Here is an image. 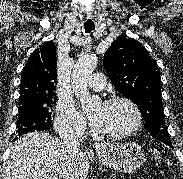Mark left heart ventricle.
I'll return each instance as SVG.
<instances>
[{
    "label": "left heart ventricle",
    "instance_id": "obj_1",
    "mask_svg": "<svg viewBox=\"0 0 183 179\" xmlns=\"http://www.w3.org/2000/svg\"><path fill=\"white\" fill-rule=\"evenodd\" d=\"M100 114L102 132H121L130 128L135 120L132 109L125 103L112 105H100L96 108L95 114Z\"/></svg>",
    "mask_w": 183,
    "mask_h": 179
}]
</instances>
